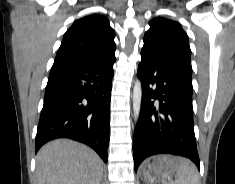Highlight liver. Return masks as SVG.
Here are the masks:
<instances>
[{"mask_svg":"<svg viewBox=\"0 0 235 184\" xmlns=\"http://www.w3.org/2000/svg\"><path fill=\"white\" fill-rule=\"evenodd\" d=\"M37 184H100L103 162L84 144L53 140L36 156Z\"/></svg>","mask_w":235,"mask_h":184,"instance_id":"obj_1","label":"liver"}]
</instances>
